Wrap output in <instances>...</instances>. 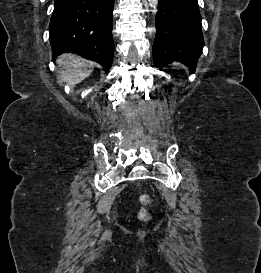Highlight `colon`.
I'll list each match as a JSON object with an SVG mask.
<instances>
[{
    "instance_id": "5ec220e1",
    "label": "colon",
    "mask_w": 261,
    "mask_h": 273,
    "mask_svg": "<svg viewBox=\"0 0 261 273\" xmlns=\"http://www.w3.org/2000/svg\"><path fill=\"white\" fill-rule=\"evenodd\" d=\"M139 201L142 207L140 208L138 212V217L141 220H147L149 219L150 214L145 207L151 204L152 202L151 196L148 194H142L139 198Z\"/></svg>"
}]
</instances>
